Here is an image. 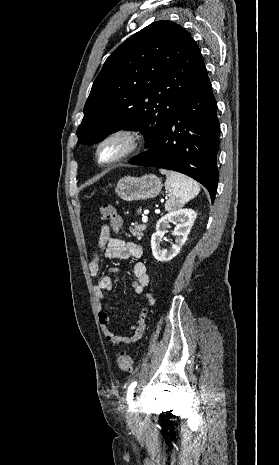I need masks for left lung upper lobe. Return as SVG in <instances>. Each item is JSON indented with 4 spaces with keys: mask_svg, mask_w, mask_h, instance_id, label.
Returning a JSON list of instances; mask_svg holds the SVG:
<instances>
[{
    "mask_svg": "<svg viewBox=\"0 0 279 465\" xmlns=\"http://www.w3.org/2000/svg\"><path fill=\"white\" fill-rule=\"evenodd\" d=\"M202 62L194 39L174 22H153L135 33L95 79L77 129L79 143L137 128L150 148L179 111Z\"/></svg>",
    "mask_w": 279,
    "mask_h": 465,
    "instance_id": "obj_1",
    "label": "left lung upper lobe"
}]
</instances>
